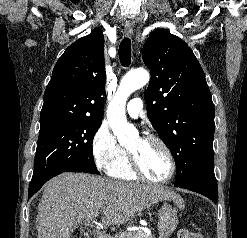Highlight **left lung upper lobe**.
I'll return each mask as SVG.
<instances>
[{"label":"left lung upper lobe","mask_w":247,"mask_h":238,"mask_svg":"<svg viewBox=\"0 0 247 238\" xmlns=\"http://www.w3.org/2000/svg\"><path fill=\"white\" fill-rule=\"evenodd\" d=\"M142 58L151 71L145 93L148 118L176 162V182L213 168L214 105L191 48L165 29L146 40Z\"/></svg>","instance_id":"left-lung-upper-lobe-1"}]
</instances>
